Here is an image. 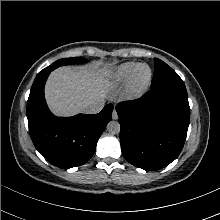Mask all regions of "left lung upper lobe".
<instances>
[{
    "instance_id": "1",
    "label": "left lung upper lobe",
    "mask_w": 220,
    "mask_h": 220,
    "mask_svg": "<svg viewBox=\"0 0 220 220\" xmlns=\"http://www.w3.org/2000/svg\"><path fill=\"white\" fill-rule=\"evenodd\" d=\"M155 70L151 83L153 89H165L187 94L185 84L179 75L162 60L155 58Z\"/></svg>"
}]
</instances>
